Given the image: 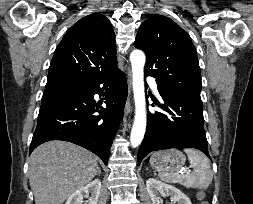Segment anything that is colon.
Returning a JSON list of instances; mask_svg holds the SVG:
<instances>
[{
	"label": "colon",
	"instance_id": "colon-1",
	"mask_svg": "<svg viewBox=\"0 0 253 204\" xmlns=\"http://www.w3.org/2000/svg\"><path fill=\"white\" fill-rule=\"evenodd\" d=\"M202 204H208L207 202H203Z\"/></svg>",
	"mask_w": 253,
	"mask_h": 204
}]
</instances>
